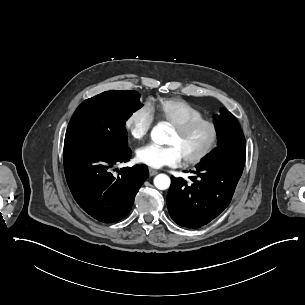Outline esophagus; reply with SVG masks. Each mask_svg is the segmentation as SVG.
Segmentation results:
<instances>
[{"label": "esophagus", "instance_id": "1", "mask_svg": "<svg viewBox=\"0 0 305 305\" xmlns=\"http://www.w3.org/2000/svg\"><path fill=\"white\" fill-rule=\"evenodd\" d=\"M158 172L156 171V170H154V169H152V168H149V175L150 176H154V175H156Z\"/></svg>", "mask_w": 305, "mask_h": 305}]
</instances>
